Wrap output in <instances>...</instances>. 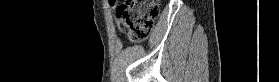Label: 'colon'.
Listing matches in <instances>:
<instances>
[{
  "label": "colon",
  "instance_id": "colon-1",
  "mask_svg": "<svg viewBox=\"0 0 279 82\" xmlns=\"http://www.w3.org/2000/svg\"><path fill=\"white\" fill-rule=\"evenodd\" d=\"M159 12V1L124 0L117 10L116 17L126 28L129 39L132 42H140L151 33Z\"/></svg>",
  "mask_w": 279,
  "mask_h": 82
}]
</instances>
